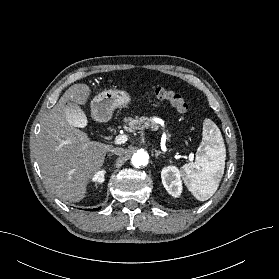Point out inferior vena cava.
Returning <instances> with one entry per match:
<instances>
[{
  "mask_svg": "<svg viewBox=\"0 0 279 279\" xmlns=\"http://www.w3.org/2000/svg\"><path fill=\"white\" fill-rule=\"evenodd\" d=\"M112 153L117 154V155H122L124 153V149L123 148H112L110 150Z\"/></svg>",
  "mask_w": 279,
  "mask_h": 279,
  "instance_id": "1",
  "label": "inferior vena cava"
}]
</instances>
